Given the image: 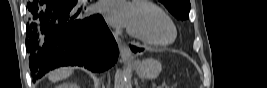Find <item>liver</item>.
<instances>
[{
  "mask_svg": "<svg viewBox=\"0 0 267 88\" xmlns=\"http://www.w3.org/2000/svg\"><path fill=\"white\" fill-rule=\"evenodd\" d=\"M71 74H72V69H70V68H61V69H58V70L52 72L49 75V79L52 82H57L59 80L67 78Z\"/></svg>",
  "mask_w": 267,
  "mask_h": 88,
  "instance_id": "obj_1",
  "label": "liver"
}]
</instances>
